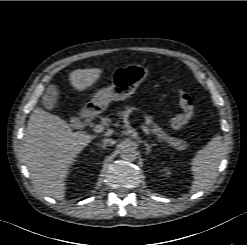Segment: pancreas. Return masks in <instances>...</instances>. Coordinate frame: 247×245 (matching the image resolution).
<instances>
[{"mask_svg":"<svg viewBox=\"0 0 247 245\" xmlns=\"http://www.w3.org/2000/svg\"><path fill=\"white\" fill-rule=\"evenodd\" d=\"M134 110L133 107H126L125 110L119 111L118 115L121 119L125 120L129 117V115ZM151 132L158 137L159 140L166 142L169 146L177 149V150H185L188 147V144L184 140L177 139L175 137H171L167 134V132L163 131L157 124L151 122Z\"/></svg>","mask_w":247,"mask_h":245,"instance_id":"obj_1","label":"pancreas"}]
</instances>
